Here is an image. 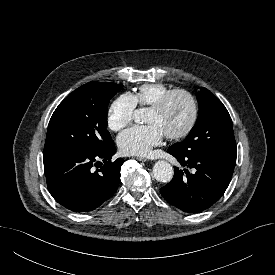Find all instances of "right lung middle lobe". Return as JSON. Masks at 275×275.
Instances as JSON below:
<instances>
[{
    "label": "right lung middle lobe",
    "instance_id": "dd1d6c3e",
    "mask_svg": "<svg viewBox=\"0 0 275 275\" xmlns=\"http://www.w3.org/2000/svg\"><path fill=\"white\" fill-rule=\"evenodd\" d=\"M122 85L89 82L66 97L54 111L45 150L97 153L113 142L107 127V107Z\"/></svg>",
    "mask_w": 275,
    "mask_h": 275
}]
</instances>
